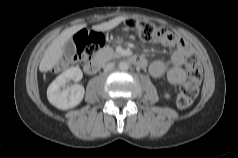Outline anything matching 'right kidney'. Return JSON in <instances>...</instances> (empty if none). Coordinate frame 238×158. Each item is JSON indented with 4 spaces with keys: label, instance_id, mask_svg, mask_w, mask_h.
I'll use <instances>...</instances> for the list:
<instances>
[{
    "label": "right kidney",
    "instance_id": "right-kidney-1",
    "mask_svg": "<svg viewBox=\"0 0 238 158\" xmlns=\"http://www.w3.org/2000/svg\"><path fill=\"white\" fill-rule=\"evenodd\" d=\"M83 73L79 67H71L60 74L48 87V101L58 109L68 110L76 107L82 101L85 89L80 84L66 87V84L73 80L78 82L82 79Z\"/></svg>",
    "mask_w": 238,
    "mask_h": 158
}]
</instances>
